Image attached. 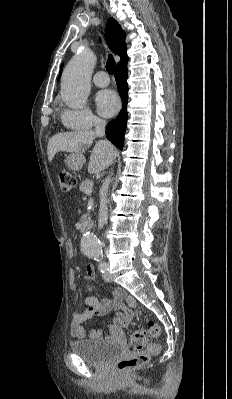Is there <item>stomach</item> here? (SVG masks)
I'll list each match as a JSON object with an SVG mask.
<instances>
[{
    "mask_svg": "<svg viewBox=\"0 0 232 399\" xmlns=\"http://www.w3.org/2000/svg\"><path fill=\"white\" fill-rule=\"evenodd\" d=\"M67 168L69 170H73V172H78L83 168V164H85L86 160L83 154H70L66 160H64Z\"/></svg>",
    "mask_w": 232,
    "mask_h": 399,
    "instance_id": "0dacf381",
    "label": "stomach"
}]
</instances>
